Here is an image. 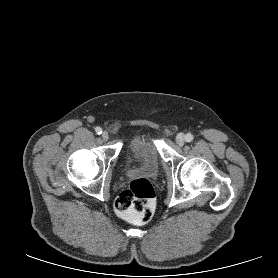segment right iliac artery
<instances>
[{"instance_id":"1","label":"right iliac artery","mask_w":278,"mask_h":278,"mask_svg":"<svg viewBox=\"0 0 278 278\" xmlns=\"http://www.w3.org/2000/svg\"><path fill=\"white\" fill-rule=\"evenodd\" d=\"M95 131L97 134H101L102 133V129L100 127H96Z\"/></svg>"}]
</instances>
